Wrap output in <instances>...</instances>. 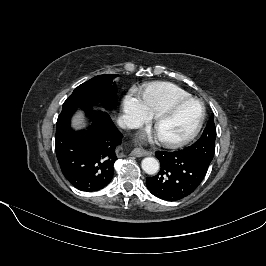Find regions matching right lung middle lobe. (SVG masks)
Wrapping results in <instances>:
<instances>
[{
    "mask_svg": "<svg viewBox=\"0 0 266 266\" xmlns=\"http://www.w3.org/2000/svg\"><path fill=\"white\" fill-rule=\"evenodd\" d=\"M118 75H98L79 85L66 99L63 109H92V105L100 102L108 109L116 106V88L113 78ZM62 109V110H63Z\"/></svg>",
    "mask_w": 266,
    "mask_h": 266,
    "instance_id": "right-lung-middle-lobe-1",
    "label": "right lung middle lobe"
}]
</instances>
